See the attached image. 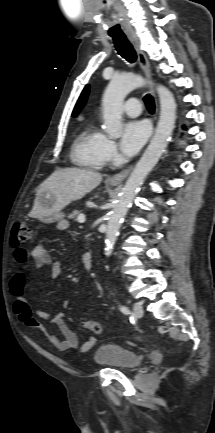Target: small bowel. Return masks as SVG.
Returning a JSON list of instances; mask_svg holds the SVG:
<instances>
[{
  "mask_svg": "<svg viewBox=\"0 0 215 433\" xmlns=\"http://www.w3.org/2000/svg\"><path fill=\"white\" fill-rule=\"evenodd\" d=\"M66 227V225H65ZM31 257L35 260L38 267L50 266V276L58 278L62 273V265L59 262H53L51 256L43 245L33 247ZM29 253L23 248H17L14 251V259L19 268L12 275L9 282V291L14 297V312L22 323L30 328H37L44 332L50 344L60 352L70 349H77L79 352H87L96 343L95 338H90L82 344L78 343L76 334L69 328L63 319L62 313H51L38 310L32 306L25 296L27 282L26 263ZM39 319L47 320L54 325L62 334L59 338L56 334L49 332L41 325Z\"/></svg>",
  "mask_w": 215,
  "mask_h": 433,
  "instance_id": "c3829d8e",
  "label": "small bowel"
}]
</instances>
